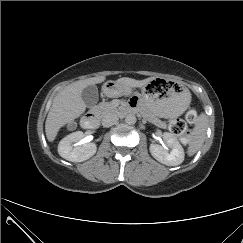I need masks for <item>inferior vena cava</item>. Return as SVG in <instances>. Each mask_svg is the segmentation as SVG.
Here are the masks:
<instances>
[{
  "mask_svg": "<svg viewBox=\"0 0 243 243\" xmlns=\"http://www.w3.org/2000/svg\"><path fill=\"white\" fill-rule=\"evenodd\" d=\"M118 122V117L115 114L109 113L102 118V125L104 127H111Z\"/></svg>",
  "mask_w": 243,
  "mask_h": 243,
  "instance_id": "1",
  "label": "inferior vena cava"
}]
</instances>
